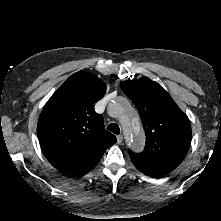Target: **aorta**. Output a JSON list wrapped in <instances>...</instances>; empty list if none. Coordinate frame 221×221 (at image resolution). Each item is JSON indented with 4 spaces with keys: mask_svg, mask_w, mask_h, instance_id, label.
Returning a JSON list of instances; mask_svg holds the SVG:
<instances>
[{
    "mask_svg": "<svg viewBox=\"0 0 221 221\" xmlns=\"http://www.w3.org/2000/svg\"><path fill=\"white\" fill-rule=\"evenodd\" d=\"M111 112L122 114L121 125L125 134V139L128 147L134 151H141L144 146V138L142 135L141 124L139 119L126 102H115L109 106ZM124 112H127L124 114Z\"/></svg>",
    "mask_w": 221,
    "mask_h": 221,
    "instance_id": "obj_1",
    "label": "aorta"
}]
</instances>
